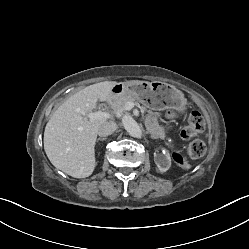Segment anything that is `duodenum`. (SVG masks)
<instances>
[{
  "label": "duodenum",
  "mask_w": 249,
  "mask_h": 249,
  "mask_svg": "<svg viewBox=\"0 0 249 249\" xmlns=\"http://www.w3.org/2000/svg\"><path fill=\"white\" fill-rule=\"evenodd\" d=\"M115 94L112 92V90L108 93L106 97V101L110 100Z\"/></svg>",
  "instance_id": "duodenum-1"
}]
</instances>
